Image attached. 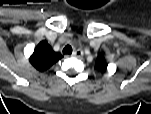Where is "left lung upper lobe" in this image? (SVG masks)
I'll return each instance as SVG.
<instances>
[{"mask_svg":"<svg viewBox=\"0 0 151 114\" xmlns=\"http://www.w3.org/2000/svg\"><path fill=\"white\" fill-rule=\"evenodd\" d=\"M96 68L99 72L102 74L106 72L107 69V63L105 62V59L103 56H99L96 61Z\"/></svg>","mask_w":151,"mask_h":114,"instance_id":"1","label":"left lung upper lobe"}]
</instances>
